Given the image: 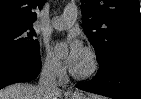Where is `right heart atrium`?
<instances>
[{
	"instance_id": "right-heart-atrium-1",
	"label": "right heart atrium",
	"mask_w": 141,
	"mask_h": 99,
	"mask_svg": "<svg viewBox=\"0 0 141 99\" xmlns=\"http://www.w3.org/2000/svg\"><path fill=\"white\" fill-rule=\"evenodd\" d=\"M42 71L53 78H59L64 73L63 65L58 57L48 48H43L40 54Z\"/></svg>"
}]
</instances>
